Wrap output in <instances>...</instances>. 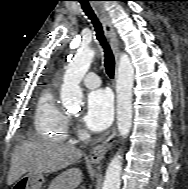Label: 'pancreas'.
<instances>
[{"instance_id":"cf45deb5","label":"pancreas","mask_w":188,"mask_h":189,"mask_svg":"<svg viewBox=\"0 0 188 189\" xmlns=\"http://www.w3.org/2000/svg\"><path fill=\"white\" fill-rule=\"evenodd\" d=\"M61 177L59 176L57 179H55L49 186V189H57L58 183L60 182Z\"/></svg>"}]
</instances>
